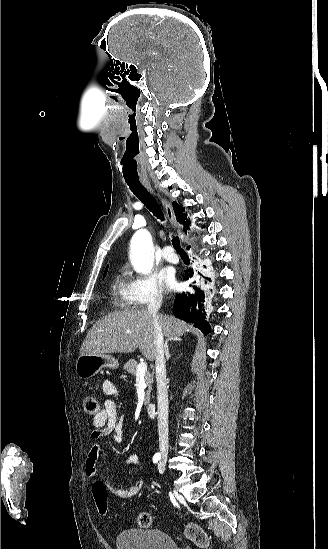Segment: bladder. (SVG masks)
I'll use <instances>...</instances> for the list:
<instances>
[{
  "instance_id": "bladder-1",
  "label": "bladder",
  "mask_w": 328,
  "mask_h": 549,
  "mask_svg": "<svg viewBox=\"0 0 328 549\" xmlns=\"http://www.w3.org/2000/svg\"><path fill=\"white\" fill-rule=\"evenodd\" d=\"M118 549H176L174 540L164 531L130 530L117 534Z\"/></svg>"
}]
</instances>
